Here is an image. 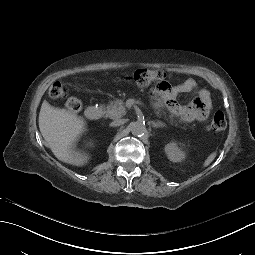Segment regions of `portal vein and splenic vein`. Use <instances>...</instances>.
Here are the masks:
<instances>
[{"label": "portal vein and splenic vein", "instance_id": "portal-vein-and-splenic-vein-1", "mask_svg": "<svg viewBox=\"0 0 255 255\" xmlns=\"http://www.w3.org/2000/svg\"><path fill=\"white\" fill-rule=\"evenodd\" d=\"M135 105V102L132 98H129L126 103H125V106L129 109H132Z\"/></svg>", "mask_w": 255, "mask_h": 255}]
</instances>
